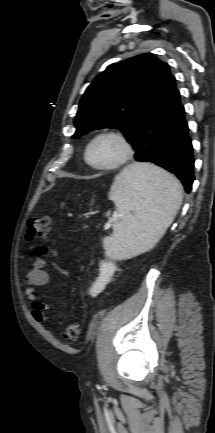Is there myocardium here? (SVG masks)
<instances>
[{"mask_svg": "<svg viewBox=\"0 0 215 433\" xmlns=\"http://www.w3.org/2000/svg\"><path fill=\"white\" fill-rule=\"evenodd\" d=\"M104 137H112L119 141L122 147V153L121 156L113 163L106 164V165H96L92 163L89 159V151L92 147V145L99 139ZM133 156V146L128 139V137L119 130H104L96 134L87 144L84 152V159L87 165H89L91 168L101 171H111L119 169L120 167L124 166Z\"/></svg>", "mask_w": 215, "mask_h": 433, "instance_id": "myocardium-1", "label": "myocardium"}]
</instances>
